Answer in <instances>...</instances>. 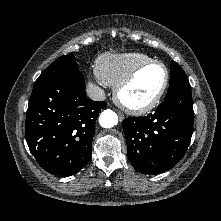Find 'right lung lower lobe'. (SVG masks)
<instances>
[{
    "instance_id": "1",
    "label": "right lung lower lobe",
    "mask_w": 221,
    "mask_h": 221,
    "mask_svg": "<svg viewBox=\"0 0 221 221\" xmlns=\"http://www.w3.org/2000/svg\"><path fill=\"white\" fill-rule=\"evenodd\" d=\"M105 107L86 97L85 83L70 80L31 96L25 137L40 166L59 176L78 173L91 158L95 122Z\"/></svg>"
}]
</instances>
